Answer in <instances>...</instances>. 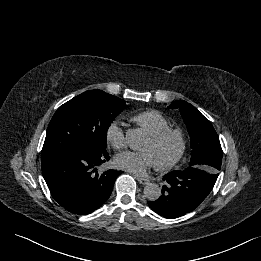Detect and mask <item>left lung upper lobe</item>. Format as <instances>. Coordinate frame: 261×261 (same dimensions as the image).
<instances>
[{
    "instance_id": "left-lung-upper-lobe-1",
    "label": "left lung upper lobe",
    "mask_w": 261,
    "mask_h": 261,
    "mask_svg": "<svg viewBox=\"0 0 261 261\" xmlns=\"http://www.w3.org/2000/svg\"><path fill=\"white\" fill-rule=\"evenodd\" d=\"M168 108H179L191 138V159L189 165H204L220 170L222 149L218 135L210 121L194 106L177 100Z\"/></svg>"
}]
</instances>
